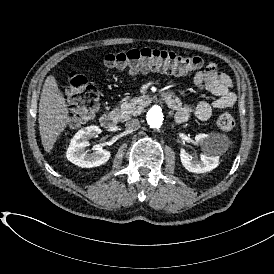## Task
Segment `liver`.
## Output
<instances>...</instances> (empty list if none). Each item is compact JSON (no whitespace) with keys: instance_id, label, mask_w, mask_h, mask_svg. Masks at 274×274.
Returning <instances> with one entry per match:
<instances>
[{"instance_id":"6515ba94","label":"liver","mask_w":274,"mask_h":274,"mask_svg":"<svg viewBox=\"0 0 274 274\" xmlns=\"http://www.w3.org/2000/svg\"><path fill=\"white\" fill-rule=\"evenodd\" d=\"M38 112L41 143L44 150L50 153L58 136L70 121L68 105L52 75L44 82Z\"/></svg>"}]
</instances>
